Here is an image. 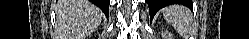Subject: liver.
<instances>
[{
    "label": "liver",
    "instance_id": "obj_1",
    "mask_svg": "<svg viewBox=\"0 0 249 39\" xmlns=\"http://www.w3.org/2000/svg\"><path fill=\"white\" fill-rule=\"evenodd\" d=\"M74 11L77 37H85L93 32L103 17L102 11L88 0L74 1Z\"/></svg>",
    "mask_w": 249,
    "mask_h": 39
}]
</instances>
